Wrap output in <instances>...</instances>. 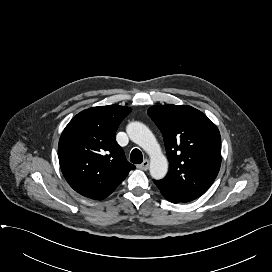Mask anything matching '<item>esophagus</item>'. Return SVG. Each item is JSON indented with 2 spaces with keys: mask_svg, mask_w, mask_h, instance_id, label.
I'll use <instances>...</instances> for the list:
<instances>
[{
  "mask_svg": "<svg viewBox=\"0 0 272 272\" xmlns=\"http://www.w3.org/2000/svg\"><path fill=\"white\" fill-rule=\"evenodd\" d=\"M141 170H147L149 168V160L145 159L142 164L138 165Z\"/></svg>",
  "mask_w": 272,
  "mask_h": 272,
  "instance_id": "1",
  "label": "esophagus"
}]
</instances>
